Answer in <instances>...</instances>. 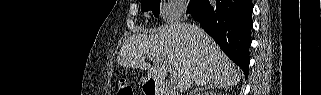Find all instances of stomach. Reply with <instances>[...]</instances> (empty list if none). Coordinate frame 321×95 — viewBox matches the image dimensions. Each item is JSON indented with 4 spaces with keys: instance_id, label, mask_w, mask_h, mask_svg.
<instances>
[{
    "instance_id": "1",
    "label": "stomach",
    "mask_w": 321,
    "mask_h": 95,
    "mask_svg": "<svg viewBox=\"0 0 321 95\" xmlns=\"http://www.w3.org/2000/svg\"><path fill=\"white\" fill-rule=\"evenodd\" d=\"M141 82H142V87H144L148 84V80L146 78H142Z\"/></svg>"
}]
</instances>
